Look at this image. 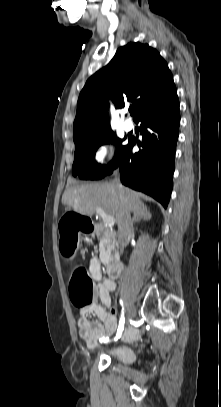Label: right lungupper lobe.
<instances>
[{
  "label": "right lung upper lobe",
  "instance_id": "obj_1",
  "mask_svg": "<svg viewBox=\"0 0 221 407\" xmlns=\"http://www.w3.org/2000/svg\"><path fill=\"white\" fill-rule=\"evenodd\" d=\"M174 86L168 65L156 49L139 42L119 48L109 64L87 80L80 93L73 124L75 144L111 130L109 99L116 108L131 103L135 120Z\"/></svg>",
  "mask_w": 221,
  "mask_h": 407
}]
</instances>
